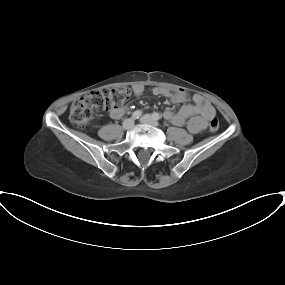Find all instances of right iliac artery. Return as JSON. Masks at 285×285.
I'll return each mask as SVG.
<instances>
[{
	"instance_id": "right-iliac-artery-1",
	"label": "right iliac artery",
	"mask_w": 285,
	"mask_h": 285,
	"mask_svg": "<svg viewBox=\"0 0 285 285\" xmlns=\"http://www.w3.org/2000/svg\"><path fill=\"white\" fill-rule=\"evenodd\" d=\"M141 115H142V112H141L140 110H137V111L133 112L132 118L136 120V119H138Z\"/></svg>"
}]
</instances>
